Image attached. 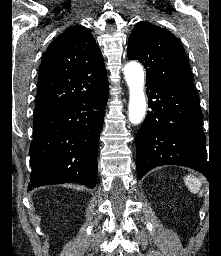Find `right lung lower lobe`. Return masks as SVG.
<instances>
[{
  "label": "right lung lower lobe",
  "instance_id": "right-lung-lower-lobe-1",
  "mask_svg": "<svg viewBox=\"0 0 221 256\" xmlns=\"http://www.w3.org/2000/svg\"><path fill=\"white\" fill-rule=\"evenodd\" d=\"M108 86L47 113L34 116L28 191L48 184L78 182L94 188L97 153Z\"/></svg>",
  "mask_w": 221,
  "mask_h": 256
}]
</instances>
